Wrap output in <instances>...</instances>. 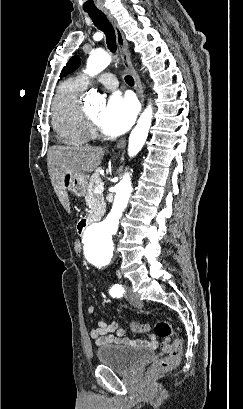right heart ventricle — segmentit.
Wrapping results in <instances>:
<instances>
[{"mask_svg":"<svg viewBox=\"0 0 243 409\" xmlns=\"http://www.w3.org/2000/svg\"><path fill=\"white\" fill-rule=\"evenodd\" d=\"M86 88L81 78L65 80L52 103V124L61 142L81 145L87 142L90 131L84 116L81 95Z\"/></svg>","mask_w":243,"mask_h":409,"instance_id":"1","label":"right heart ventricle"}]
</instances>
